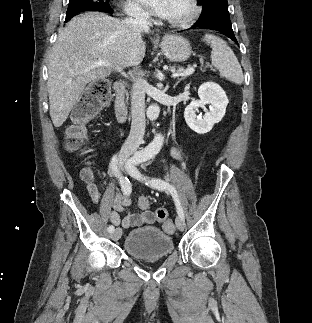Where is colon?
I'll return each mask as SVG.
<instances>
[{
    "label": "colon",
    "mask_w": 312,
    "mask_h": 323,
    "mask_svg": "<svg viewBox=\"0 0 312 323\" xmlns=\"http://www.w3.org/2000/svg\"><path fill=\"white\" fill-rule=\"evenodd\" d=\"M110 99V83L106 77L96 78L89 83L82 93L80 108L73 112V121L67 128L66 146L69 149L81 148L85 144L88 139L86 125L101 106L110 102ZM138 206L143 210L148 209L150 207L149 199L140 198ZM156 211L163 231L167 234H174L176 227L169 219L164 206H157Z\"/></svg>",
    "instance_id": "colon-1"
}]
</instances>
